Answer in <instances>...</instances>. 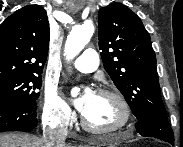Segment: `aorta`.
Here are the masks:
<instances>
[{
	"mask_svg": "<svg viewBox=\"0 0 183 147\" xmlns=\"http://www.w3.org/2000/svg\"><path fill=\"white\" fill-rule=\"evenodd\" d=\"M95 27L92 22L88 21L84 24L76 26L72 29L67 37L65 43L64 53L67 60H72L75 58L90 41ZM79 88L74 87L71 90V95L73 97L77 96Z\"/></svg>",
	"mask_w": 183,
	"mask_h": 147,
	"instance_id": "aorta-1",
	"label": "aorta"
}]
</instances>
